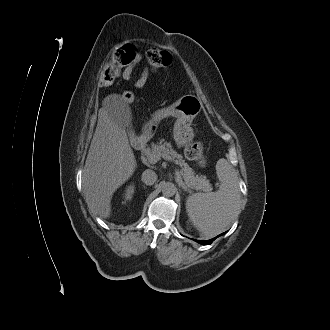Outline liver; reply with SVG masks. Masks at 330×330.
Wrapping results in <instances>:
<instances>
[{"instance_id":"liver-1","label":"liver","mask_w":330,"mask_h":330,"mask_svg":"<svg viewBox=\"0 0 330 330\" xmlns=\"http://www.w3.org/2000/svg\"><path fill=\"white\" fill-rule=\"evenodd\" d=\"M136 165L127 133L115 108L104 105L98 113L83 171V189L91 211L101 218L110 217L112 195L131 177Z\"/></svg>"}]
</instances>
